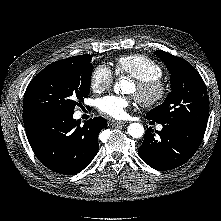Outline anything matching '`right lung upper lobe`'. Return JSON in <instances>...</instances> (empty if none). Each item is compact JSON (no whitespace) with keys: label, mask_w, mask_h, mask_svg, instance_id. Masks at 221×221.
<instances>
[{"label":"right lung upper lobe","mask_w":221,"mask_h":221,"mask_svg":"<svg viewBox=\"0 0 221 221\" xmlns=\"http://www.w3.org/2000/svg\"><path fill=\"white\" fill-rule=\"evenodd\" d=\"M82 57H83V55L73 56V57L67 58V60H69V61H79V60H81Z\"/></svg>","instance_id":"right-lung-upper-lobe-1"}]
</instances>
